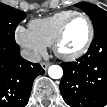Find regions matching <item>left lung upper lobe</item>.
<instances>
[{
    "instance_id": "obj_1",
    "label": "left lung upper lobe",
    "mask_w": 107,
    "mask_h": 107,
    "mask_svg": "<svg viewBox=\"0 0 107 107\" xmlns=\"http://www.w3.org/2000/svg\"><path fill=\"white\" fill-rule=\"evenodd\" d=\"M77 7L82 8L93 22L94 34L107 29V11L97 7L94 4L81 2L76 4Z\"/></svg>"
}]
</instances>
